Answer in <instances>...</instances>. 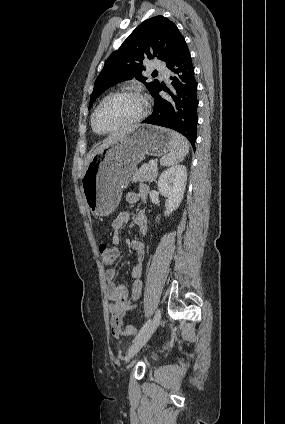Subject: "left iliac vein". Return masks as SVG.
Segmentation results:
<instances>
[{
    "mask_svg": "<svg viewBox=\"0 0 285 424\" xmlns=\"http://www.w3.org/2000/svg\"><path fill=\"white\" fill-rule=\"evenodd\" d=\"M161 320V310L158 309L154 315L153 320L151 321L149 327L145 330V332L138 337L131 348L128 351L127 354V360H130L145 344L146 342L151 338L155 330L157 329L159 323Z\"/></svg>",
    "mask_w": 285,
    "mask_h": 424,
    "instance_id": "4c4485c4",
    "label": "left iliac vein"
}]
</instances>
